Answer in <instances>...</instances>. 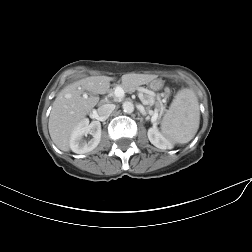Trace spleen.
I'll return each mask as SVG.
<instances>
[{"label":"spleen","instance_id":"spleen-1","mask_svg":"<svg viewBox=\"0 0 252 252\" xmlns=\"http://www.w3.org/2000/svg\"><path fill=\"white\" fill-rule=\"evenodd\" d=\"M200 111L196 94L183 88L176 94L161 122L162 132L174 143H188L197 133Z\"/></svg>","mask_w":252,"mask_h":252}]
</instances>
